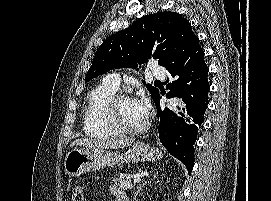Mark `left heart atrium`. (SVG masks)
Here are the masks:
<instances>
[{
	"label": "left heart atrium",
	"instance_id": "left-heart-atrium-1",
	"mask_svg": "<svg viewBox=\"0 0 271 201\" xmlns=\"http://www.w3.org/2000/svg\"><path fill=\"white\" fill-rule=\"evenodd\" d=\"M130 100L137 115L143 119H146L150 111V104L148 100L141 94L135 95L134 97L130 98Z\"/></svg>",
	"mask_w": 271,
	"mask_h": 201
}]
</instances>
